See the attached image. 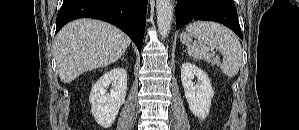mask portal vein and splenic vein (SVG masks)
I'll return each mask as SVG.
<instances>
[{"instance_id": "1", "label": "portal vein and splenic vein", "mask_w": 299, "mask_h": 130, "mask_svg": "<svg viewBox=\"0 0 299 130\" xmlns=\"http://www.w3.org/2000/svg\"><path fill=\"white\" fill-rule=\"evenodd\" d=\"M210 50H211V51H214V49H213V48H211Z\"/></svg>"}]
</instances>
